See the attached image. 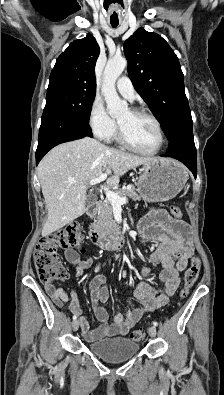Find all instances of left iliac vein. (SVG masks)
I'll return each instance as SVG.
<instances>
[{
  "mask_svg": "<svg viewBox=\"0 0 224 395\" xmlns=\"http://www.w3.org/2000/svg\"><path fill=\"white\" fill-rule=\"evenodd\" d=\"M150 337L154 338L156 336L157 330L155 326H151L148 329Z\"/></svg>",
  "mask_w": 224,
  "mask_h": 395,
  "instance_id": "4c4485c4",
  "label": "left iliac vein"
}]
</instances>
